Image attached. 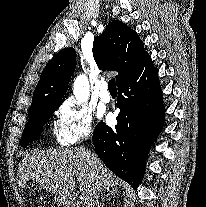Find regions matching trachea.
Instances as JSON below:
<instances>
[{
	"mask_svg": "<svg viewBox=\"0 0 206 207\" xmlns=\"http://www.w3.org/2000/svg\"><path fill=\"white\" fill-rule=\"evenodd\" d=\"M108 89H109V91H117L115 79H111L108 82Z\"/></svg>",
	"mask_w": 206,
	"mask_h": 207,
	"instance_id": "obj_1",
	"label": "trachea"
}]
</instances>
